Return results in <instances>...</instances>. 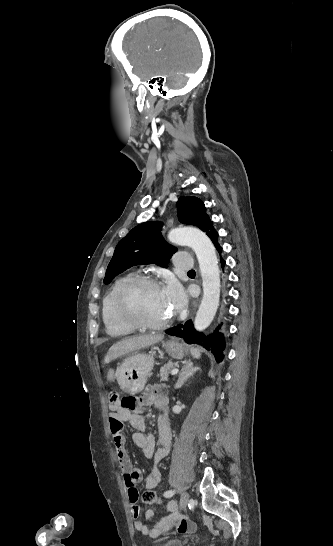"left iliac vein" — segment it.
<instances>
[{
    "mask_svg": "<svg viewBox=\"0 0 333 546\" xmlns=\"http://www.w3.org/2000/svg\"><path fill=\"white\" fill-rule=\"evenodd\" d=\"M188 502H189V494L187 492H184L180 498V503H179L180 510H184Z\"/></svg>",
    "mask_w": 333,
    "mask_h": 546,
    "instance_id": "4c4485c4",
    "label": "left iliac vein"
}]
</instances>
